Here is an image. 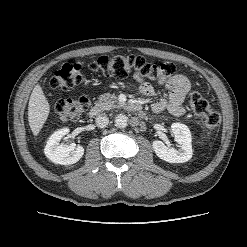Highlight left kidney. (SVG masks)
Wrapping results in <instances>:
<instances>
[{
    "label": "left kidney",
    "instance_id": "obj_1",
    "mask_svg": "<svg viewBox=\"0 0 247 247\" xmlns=\"http://www.w3.org/2000/svg\"><path fill=\"white\" fill-rule=\"evenodd\" d=\"M171 129L180 149L167 147L162 141L155 140L152 145L154 152L160 159L169 163L187 162L193 154L191 132L186 125L181 123H173Z\"/></svg>",
    "mask_w": 247,
    "mask_h": 247
}]
</instances>
